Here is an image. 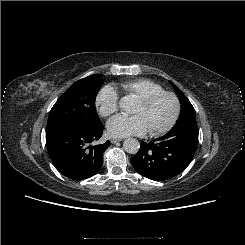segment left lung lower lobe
<instances>
[{"label": "left lung lower lobe", "mask_w": 245, "mask_h": 245, "mask_svg": "<svg viewBox=\"0 0 245 245\" xmlns=\"http://www.w3.org/2000/svg\"><path fill=\"white\" fill-rule=\"evenodd\" d=\"M195 150V146L173 143L162 136L149 143L142 142L131 163L142 176L163 181L184 171L192 161Z\"/></svg>", "instance_id": "0a47b994"}]
</instances>
